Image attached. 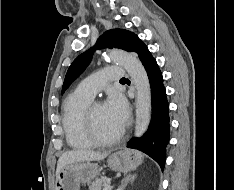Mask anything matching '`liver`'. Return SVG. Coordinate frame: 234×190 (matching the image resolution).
Masks as SVG:
<instances>
[{
	"instance_id": "1",
	"label": "liver",
	"mask_w": 234,
	"mask_h": 190,
	"mask_svg": "<svg viewBox=\"0 0 234 190\" xmlns=\"http://www.w3.org/2000/svg\"><path fill=\"white\" fill-rule=\"evenodd\" d=\"M108 153H98L88 150H73L63 153L58 160L56 175L67 164L86 161H100L106 158Z\"/></svg>"
}]
</instances>
